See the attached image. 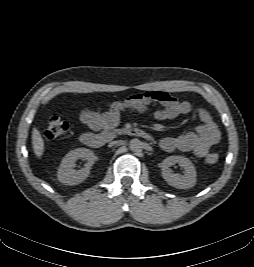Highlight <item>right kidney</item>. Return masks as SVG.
I'll list each match as a JSON object with an SVG mask.
<instances>
[{
  "label": "right kidney",
  "instance_id": "right-kidney-1",
  "mask_svg": "<svg viewBox=\"0 0 254 267\" xmlns=\"http://www.w3.org/2000/svg\"><path fill=\"white\" fill-rule=\"evenodd\" d=\"M84 159L87 161L85 167L81 170H74L77 159ZM95 155L93 151L86 148H77L68 152L62 159L60 167L57 171L58 180L64 185H77L83 182L90 174L91 166L95 162Z\"/></svg>",
  "mask_w": 254,
  "mask_h": 267
}]
</instances>
